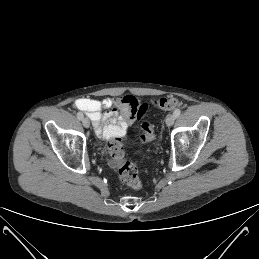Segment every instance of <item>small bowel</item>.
Returning <instances> with one entry per match:
<instances>
[{
  "label": "small bowel",
  "instance_id": "1",
  "mask_svg": "<svg viewBox=\"0 0 259 259\" xmlns=\"http://www.w3.org/2000/svg\"><path fill=\"white\" fill-rule=\"evenodd\" d=\"M74 104L92 120L96 134L108 139L123 135L134 124L139 101L135 96L124 95L101 100L79 98Z\"/></svg>",
  "mask_w": 259,
  "mask_h": 259
}]
</instances>
